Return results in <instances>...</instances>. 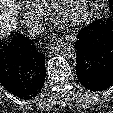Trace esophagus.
<instances>
[{"mask_svg":"<svg viewBox=\"0 0 113 113\" xmlns=\"http://www.w3.org/2000/svg\"><path fill=\"white\" fill-rule=\"evenodd\" d=\"M64 39L67 41L73 42V41H75L76 38L74 36H66V37H64Z\"/></svg>","mask_w":113,"mask_h":113,"instance_id":"34e87169","label":"esophagus"}]
</instances>
